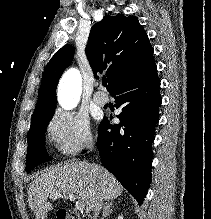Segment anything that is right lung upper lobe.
<instances>
[{"mask_svg":"<svg viewBox=\"0 0 211 219\" xmlns=\"http://www.w3.org/2000/svg\"><path fill=\"white\" fill-rule=\"evenodd\" d=\"M73 53V47L66 45L47 64L33 117L55 110L57 83L72 62ZM86 55L94 77L105 72L109 93L119 81L154 59L148 36L138 19L123 14L106 15L91 28Z\"/></svg>","mask_w":211,"mask_h":219,"instance_id":"cb5924a9","label":"right lung upper lobe"}]
</instances>
